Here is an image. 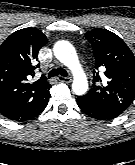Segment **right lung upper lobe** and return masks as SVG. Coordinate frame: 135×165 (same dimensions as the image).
I'll return each instance as SVG.
<instances>
[{"label": "right lung upper lobe", "mask_w": 135, "mask_h": 165, "mask_svg": "<svg viewBox=\"0 0 135 165\" xmlns=\"http://www.w3.org/2000/svg\"><path fill=\"white\" fill-rule=\"evenodd\" d=\"M47 43L38 29L24 28L11 34L0 46V110L20 102H36L50 95L45 77L35 82L37 55Z\"/></svg>", "instance_id": "right-lung-upper-lobe-1"}]
</instances>
